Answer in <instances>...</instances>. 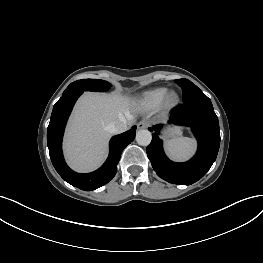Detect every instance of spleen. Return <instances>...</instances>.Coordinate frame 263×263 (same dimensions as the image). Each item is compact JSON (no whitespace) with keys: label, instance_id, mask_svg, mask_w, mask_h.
<instances>
[{"label":"spleen","instance_id":"spleen-1","mask_svg":"<svg viewBox=\"0 0 263 263\" xmlns=\"http://www.w3.org/2000/svg\"><path fill=\"white\" fill-rule=\"evenodd\" d=\"M167 154L174 160L184 161L190 158L196 149V142L192 138L178 137L165 143Z\"/></svg>","mask_w":263,"mask_h":263}]
</instances>
